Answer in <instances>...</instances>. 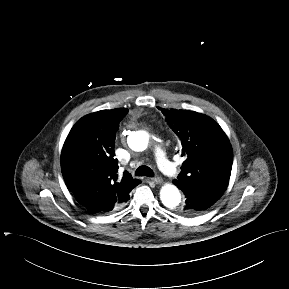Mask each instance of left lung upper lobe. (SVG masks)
Instances as JSON below:
<instances>
[{"label": "left lung upper lobe", "mask_w": 289, "mask_h": 289, "mask_svg": "<svg viewBox=\"0 0 289 289\" xmlns=\"http://www.w3.org/2000/svg\"><path fill=\"white\" fill-rule=\"evenodd\" d=\"M161 110L180 138L182 156L186 158L174 183L185 190L220 198L228 186L233 162L232 147L224 131L206 115L189 110Z\"/></svg>", "instance_id": "5c2ea615"}]
</instances>
